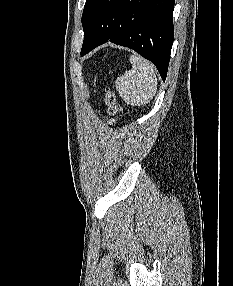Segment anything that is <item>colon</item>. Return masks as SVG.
<instances>
[{
	"mask_svg": "<svg viewBox=\"0 0 233 286\" xmlns=\"http://www.w3.org/2000/svg\"><path fill=\"white\" fill-rule=\"evenodd\" d=\"M104 103L106 105L107 112L111 116H116L120 112V107L118 105L117 98L110 88L106 89L104 95Z\"/></svg>",
	"mask_w": 233,
	"mask_h": 286,
	"instance_id": "5ec220e1",
	"label": "colon"
}]
</instances>
